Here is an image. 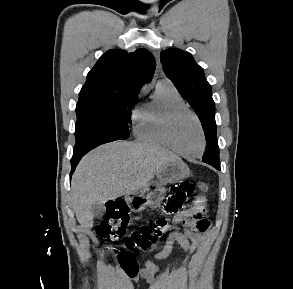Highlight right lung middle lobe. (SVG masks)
I'll list each match as a JSON object with an SVG mask.
<instances>
[{
  "label": "right lung middle lobe",
  "instance_id": "1",
  "mask_svg": "<svg viewBox=\"0 0 293 289\" xmlns=\"http://www.w3.org/2000/svg\"><path fill=\"white\" fill-rule=\"evenodd\" d=\"M134 97L78 102L74 151L91 150L104 143L128 139L131 115L126 108Z\"/></svg>",
  "mask_w": 293,
  "mask_h": 289
}]
</instances>
